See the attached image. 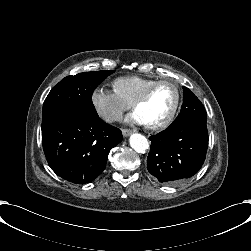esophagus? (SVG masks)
I'll list each match as a JSON object with an SVG mask.
<instances>
[{"label":"esophagus","instance_id":"1","mask_svg":"<svg viewBox=\"0 0 251 251\" xmlns=\"http://www.w3.org/2000/svg\"><path fill=\"white\" fill-rule=\"evenodd\" d=\"M133 133L132 129H128V128H124L122 129V134L124 137H128L129 135H131Z\"/></svg>","mask_w":251,"mask_h":251}]
</instances>
